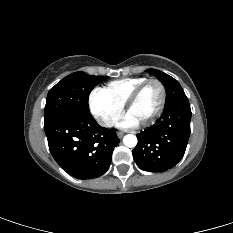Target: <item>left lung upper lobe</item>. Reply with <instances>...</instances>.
<instances>
[{
    "label": "left lung upper lobe",
    "mask_w": 233,
    "mask_h": 233,
    "mask_svg": "<svg viewBox=\"0 0 233 233\" xmlns=\"http://www.w3.org/2000/svg\"><path fill=\"white\" fill-rule=\"evenodd\" d=\"M147 72H151L159 79V81L165 86L166 89V105L175 101L179 97L186 96L179 82L170 75L161 72L156 69H148Z\"/></svg>",
    "instance_id": "left-lung-upper-lobe-1"
}]
</instances>
